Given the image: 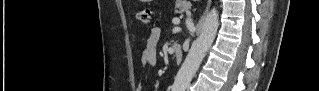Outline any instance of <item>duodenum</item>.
Instances as JSON below:
<instances>
[{"label":"duodenum","instance_id":"duodenum-1","mask_svg":"<svg viewBox=\"0 0 319 91\" xmlns=\"http://www.w3.org/2000/svg\"><path fill=\"white\" fill-rule=\"evenodd\" d=\"M172 52L176 57V60L179 62L182 58V49L178 43H174L172 45Z\"/></svg>","mask_w":319,"mask_h":91}]
</instances>
